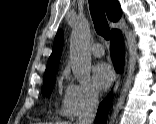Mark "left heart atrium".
I'll return each mask as SVG.
<instances>
[{
    "instance_id": "obj_1",
    "label": "left heart atrium",
    "mask_w": 156,
    "mask_h": 124,
    "mask_svg": "<svg viewBox=\"0 0 156 124\" xmlns=\"http://www.w3.org/2000/svg\"><path fill=\"white\" fill-rule=\"evenodd\" d=\"M114 79L113 70L106 63H98L93 68V80L97 88L100 90L108 89Z\"/></svg>"
}]
</instances>
